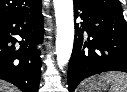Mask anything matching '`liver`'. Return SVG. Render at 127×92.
<instances>
[{
	"instance_id": "liver-1",
	"label": "liver",
	"mask_w": 127,
	"mask_h": 92,
	"mask_svg": "<svg viewBox=\"0 0 127 92\" xmlns=\"http://www.w3.org/2000/svg\"><path fill=\"white\" fill-rule=\"evenodd\" d=\"M0 92H19V90L11 84L0 80Z\"/></svg>"
}]
</instances>
